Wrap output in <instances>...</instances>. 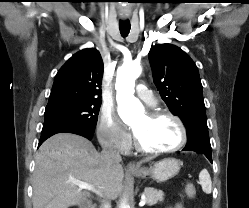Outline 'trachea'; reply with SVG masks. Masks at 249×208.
I'll list each match as a JSON object with an SVG mask.
<instances>
[{
	"mask_svg": "<svg viewBox=\"0 0 249 208\" xmlns=\"http://www.w3.org/2000/svg\"><path fill=\"white\" fill-rule=\"evenodd\" d=\"M130 28H131V25H130V22L128 20L127 21H119V30H120V33L123 37H126L129 34Z\"/></svg>",
	"mask_w": 249,
	"mask_h": 208,
	"instance_id": "obj_1",
	"label": "trachea"
}]
</instances>
